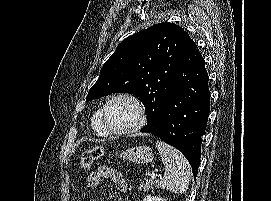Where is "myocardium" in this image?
I'll return each mask as SVG.
<instances>
[{
	"label": "myocardium",
	"instance_id": "1",
	"mask_svg": "<svg viewBox=\"0 0 271 201\" xmlns=\"http://www.w3.org/2000/svg\"><path fill=\"white\" fill-rule=\"evenodd\" d=\"M119 99L129 100L135 105L138 111V121L136 122V124L124 130H118V129L113 128L107 119L108 106L113 101L119 100ZM100 117L106 130L109 133L114 134V135L128 136V135L135 134L139 132L146 125V122H147V113H146V109L143 102L136 95L127 93V92L117 93L109 97L103 104L102 108L100 109Z\"/></svg>",
	"mask_w": 271,
	"mask_h": 201
}]
</instances>
